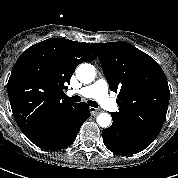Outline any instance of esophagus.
I'll return each instance as SVG.
<instances>
[{"mask_svg":"<svg viewBox=\"0 0 178 178\" xmlns=\"http://www.w3.org/2000/svg\"><path fill=\"white\" fill-rule=\"evenodd\" d=\"M90 113L93 116H97L99 113H101V109L90 107Z\"/></svg>","mask_w":178,"mask_h":178,"instance_id":"obj_1","label":"esophagus"}]
</instances>
